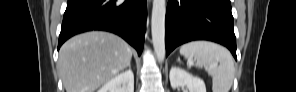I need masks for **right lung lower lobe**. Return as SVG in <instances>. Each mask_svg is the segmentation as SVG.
Masks as SVG:
<instances>
[{"mask_svg":"<svg viewBox=\"0 0 296 92\" xmlns=\"http://www.w3.org/2000/svg\"><path fill=\"white\" fill-rule=\"evenodd\" d=\"M146 18V0H68L58 49L73 35L104 30L121 36L140 55Z\"/></svg>","mask_w":296,"mask_h":92,"instance_id":"right-lung-lower-lobe-1","label":"right lung lower lobe"}]
</instances>
